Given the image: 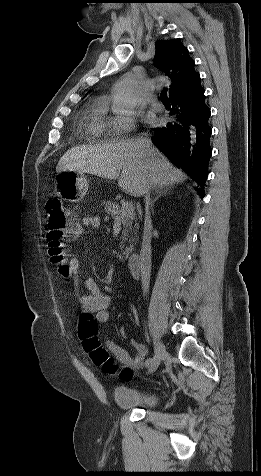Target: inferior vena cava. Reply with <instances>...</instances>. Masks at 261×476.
Here are the masks:
<instances>
[{
	"instance_id": "obj_1",
	"label": "inferior vena cava",
	"mask_w": 261,
	"mask_h": 476,
	"mask_svg": "<svg viewBox=\"0 0 261 476\" xmlns=\"http://www.w3.org/2000/svg\"><path fill=\"white\" fill-rule=\"evenodd\" d=\"M137 144L140 148V151L143 153H147L151 147V141L148 139H139L137 140ZM151 179L145 178L144 179V187H143V194L146 197L150 194L152 189ZM145 222H144V231H143V241L140 251L139 257V269L141 272V283H142V290L143 295L147 294L149 291V283H150V272H151V231H152V223L149 211V204L145 205Z\"/></svg>"
}]
</instances>
